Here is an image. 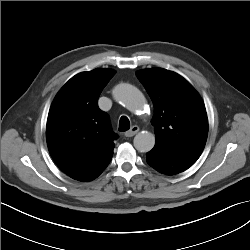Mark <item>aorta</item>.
<instances>
[{
    "instance_id": "aorta-1",
    "label": "aorta",
    "mask_w": 250,
    "mask_h": 250,
    "mask_svg": "<svg viewBox=\"0 0 250 250\" xmlns=\"http://www.w3.org/2000/svg\"><path fill=\"white\" fill-rule=\"evenodd\" d=\"M113 97L117 102L133 112L141 110L145 105L143 94L131 84H118L113 90ZM133 143L139 152H149L155 145V135L147 131L139 132L134 137Z\"/></svg>"
}]
</instances>
